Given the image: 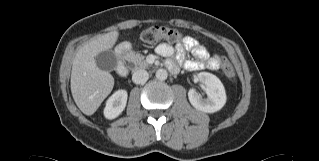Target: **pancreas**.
Listing matches in <instances>:
<instances>
[{"label":"pancreas","instance_id":"obj_1","mask_svg":"<svg viewBox=\"0 0 319 161\" xmlns=\"http://www.w3.org/2000/svg\"><path fill=\"white\" fill-rule=\"evenodd\" d=\"M126 59L132 62L136 68L146 69L149 67V64L145 60V56L139 53L130 52L128 53Z\"/></svg>","mask_w":319,"mask_h":161}]
</instances>
